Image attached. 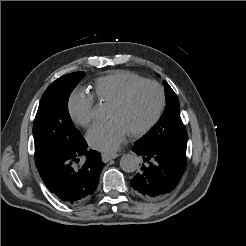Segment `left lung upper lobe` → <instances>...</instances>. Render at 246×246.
<instances>
[{"label": "left lung upper lobe", "mask_w": 246, "mask_h": 246, "mask_svg": "<svg viewBox=\"0 0 246 246\" xmlns=\"http://www.w3.org/2000/svg\"><path fill=\"white\" fill-rule=\"evenodd\" d=\"M167 105L159 121L141 138L145 142H187V132L180 117L178 98L167 82H164Z\"/></svg>", "instance_id": "1"}]
</instances>
